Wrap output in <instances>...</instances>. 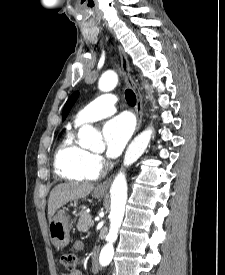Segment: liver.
Returning a JSON list of instances; mask_svg holds the SVG:
<instances>
[{"label":"liver","instance_id":"1","mask_svg":"<svg viewBox=\"0 0 225 275\" xmlns=\"http://www.w3.org/2000/svg\"><path fill=\"white\" fill-rule=\"evenodd\" d=\"M94 189L89 183H63L55 186L48 199V219L51 221L54 213L68 202L87 197Z\"/></svg>","mask_w":225,"mask_h":275}]
</instances>
